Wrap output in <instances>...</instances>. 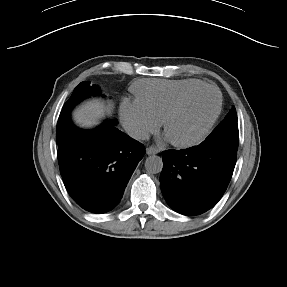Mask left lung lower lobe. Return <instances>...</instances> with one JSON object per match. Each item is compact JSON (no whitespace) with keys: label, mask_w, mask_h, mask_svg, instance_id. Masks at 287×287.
Listing matches in <instances>:
<instances>
[{"label":"left lung lower lobe","mask_w":287,"mask_h":287,"mask_svg":"<svg viewBox=\"0 0 287 287\" xmlns=\"http://www.w3.org/2000/svg\"><path fill=\"white\" fill-rule=\"evenodd\" d=\"M162 155V194L172 209L187 216L204 213L221 199L237 157L206 140L185 150L164 151Z\"/></svg>","instance_id":"1"}]
</instances>
